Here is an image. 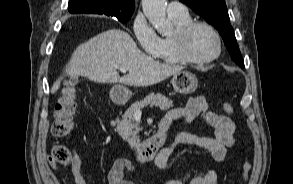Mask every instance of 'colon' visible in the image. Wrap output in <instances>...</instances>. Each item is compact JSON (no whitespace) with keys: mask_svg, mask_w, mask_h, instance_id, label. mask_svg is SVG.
Wrapping results in <instances>:
<instances>
[{"mask_svg":"<svg viewBox=\"0 0 293 184\" xmlns=\"http://www.w3.org/2000/svg\"><path fill=\"white\" fill-rule=\"evenodd\" d=\"M75 94L74 90L68 84H64L62 90V96L55 105L54 109V120L52 123V134L57 138L67 136L74 125V114H75ZM223 110L229 114H234V107L229 102L223 103ZM71 160V154L68 148L62 144H56L53 146L49 155V162L55 164H68ZM250 171V164L245 162L243 165V180L248 179Z\"/></svg>","mask_w":293,"mask_h":184,"instance_id":"obj_1","label":"colon"}]
</instances>
